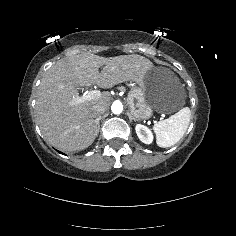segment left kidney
<instances>
[{"mask_svg":"<svg viewBox=\"0 0 236 236\" xmlns=\"http://www.w3.org/2000/svg\"><path fill=\"white\" fill-rule=\"evenodd\" d=\"M138 138L145 144H151L153 135L150 129L142 124H137L135 127Z\"/></svg>","mask_w":236,"mask_h":236,"instance_id":"5707ae66","label":"left kidney"}]
</instances>
